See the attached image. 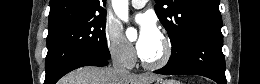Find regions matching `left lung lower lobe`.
Masks as SVG:
<instances>
[{
  "label": "left lung lower lobe",
  "instance_id": "obj_1",
  "mask_svg": "<svg viewBox=\"0 0 260 84\" xmlns=\"http://www.w3.org/2000/svg\"><path fill=\"white\" fill-rule=\"evenodd\" d=\"M221 30L197 33L183 45L178 56L156 70L163 75L194 74L208 77L218 84H226L225 59L222 53Z\"/></svg>",
  "mask_w": 260,
  "mask_h": 84
}]
</instances>
